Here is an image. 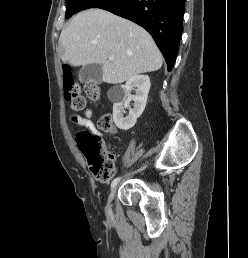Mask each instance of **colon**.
Wrapping results in <instances>:
<instances>
[{"instance_id": "5ec220e1", "label": "colon", "mask_w": 248, "mask_h": 258, "mask_svg": "<svg viewBox=\"0 0 248 258\" xmlns=\"http://www.w3.org/2000/svg\"><path fill=\"white\" fill-rule=\"evenodd\" d=\"M85 91L93 101H99L101 91L95 81L85 84ZM65 97L71 102L74 111H81L85 105L80 86L69 75L65 76ZM99 127L106 133L115 131V124L110 114H104L99 119ZM75 142L86 158L94 176L101 182H108L116 175L114 156L100 135L90 130H82L76 134Z\"/></svg>"}]
</instances>
